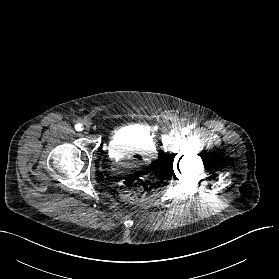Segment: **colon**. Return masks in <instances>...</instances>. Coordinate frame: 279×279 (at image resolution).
Here are the masks:
<instances>
[{
    "label": "colon",
    "instance_id": "5ec220e1",
    "mask_svg": "<svg viewBox=\"0 0 279 279\" xmlns=\"http://www.w3.org/2000/svg\"><path fill=\"white\" fill-rule=\"evenodd\" d=\"M118 192L125 201H139L147 192V183L139 176H129L119 183Z\"/></svg>",
    "mask_w": 279,
    "mask_h": 279
}]
</instances>
